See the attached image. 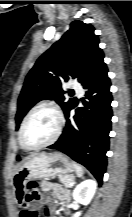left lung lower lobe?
I'll use <instances>...</instances> for the list:
<instances>
[{
  "label": "left lung lower lobe",
  "mask_w": 132,
  "mask_h": 217,
  "mask_svg": "<svg viewBox=\"0 0 132 217\" xmlns=\"http://www.w3.org/2000/svg\"><path fill=\"white\" fill-rule=\"evenodd\" d=\"M108 69L103 62L94 74L82 85L86 89L82 99L84 107L76 109L73 118L65 113L66 127L58 141L48 148L57 149L76 162L84 165L102 184L107 165L106 152L109 148L111 130L112 95Z\"/></svg>",
  "instance_id": "1"
}]
</instances>
